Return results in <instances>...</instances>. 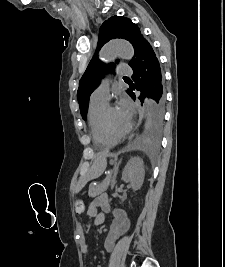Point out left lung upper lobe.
I'll return each instance as SVG.
<instances>
[{
	"instance_id": "left-lung-upper-lobe-1",
	"label": "left lung upper lobe",
	"mask_w": 225,
	"mask_h": 267,
	"mask_svg": "<svg viewBox=\"0 0 225 267\" xmlns=\"http://www.w3.org/2000/svg\"><path fill=\"white\" fill-rule=\"evenodd\" d=\"M116 38L128 40L133 45L135 55L134 58L129 62V65H132L137 55L139 44L143 36L141 35V32L136 24H134L130 19L122 16H113L102 24V26L100 27L96 53L94 54L85 73L80 79L79 88L77 92L80 112L84 120L86 118L88 110V102L90 95L99 85L101 76L105 71V68L99 61L97 54L105 43H107L111 39ZM113 68L114 64H109L108 69L111 70ZM163 116L164 109H161L157 105H153L150 124L151 129L155 135H158L161 131L163 124Z\"/></svg>"
}]
</instances>
